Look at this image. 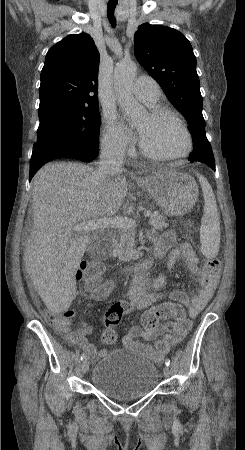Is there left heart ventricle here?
<instances>
[{
	"mask_svg": "<svg viewBox=\"0 0 245 450\" xmlns=\"http://www.w3.org/2000/svg\"><path fill=\"white\" fill-rule=\"evenodd\" d=\"M137 129L141 144L149 152L163 156L177 155L187 147L183 130L171 119L154 120L148 115Z\"/></svg>",
	"mask_w": 245,
	"mask_h": 450,
	"instance_id": "b2bd125f",
	"label": "left heart ventricle"
}]
</instances>
